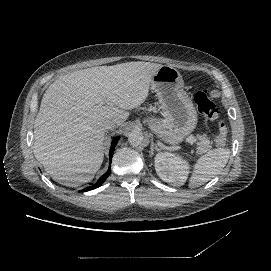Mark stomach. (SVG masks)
<instances>
[{
	"mask_svg": "<svg viewBox=\"0 0 271 271\" xmlns=\"http://www.w3.org/2000/svg\"><path fill=\"white\" fill-rule=\"evenodd\" d=\"M151 89L156 92L163 119L148 118L149 128L169 144H178L197 125V113L186 95L180 72L171 66H161L151 80Z\"/></svg>",
	"mask_w": 271,
	"mask_h": 271,
	"instance_id": "stomach-1",
	"label": "stomach"
}]
</instances>
